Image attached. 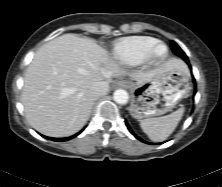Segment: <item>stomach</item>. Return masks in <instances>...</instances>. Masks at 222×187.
Here are the masks:
<instances>
[{"mask_svg": "<svg viewBox=\"0 0 222 187\" xmlns=\"http://www.w3.org/2000/svg\"><path fill=\"white\" fill-rule=\"evenodd\" d=\"M187 69H162L149 82L132 84L129 107L135 119H146L171 111L189 91Z\"/></svg>", "mask_w": 222, "mask_h": 187, "instance_id": "1", "label": "stomach"}]
</instances>
